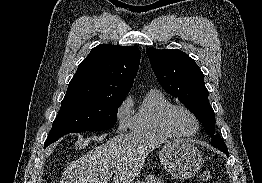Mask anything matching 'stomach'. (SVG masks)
Returning a JSON list of instances; mask_svg holds the SVG:
<instances>
[{
    "label": "stomach",
    "instance_id": "0dacf381",
    "mask_svg": "<svg viewBox=\"0 0 262 183\" xmlns=\"http://www.w3.org/2000/svg\"><path fill=\"white\" fill-rule=\"evenodd\" d=\"M160 162L166 171L176 179H188L195 176L202 166L200 151L183 140L166 141L159 152ZM132 183H161L154 175H148L143 181Z\"/></svg>",
    "mask_w": 262,
    "mask_h": 183
}]
</instances>
